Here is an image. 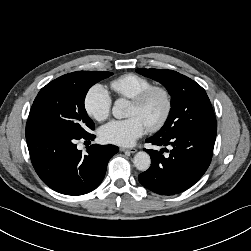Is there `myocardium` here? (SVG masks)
Here are the masks:
<instances>
[{
    "label": "myocardium",
    "instance_id": "myocardium-1",
    "mask_svg": "<svg viewBox=\"0 0 251 251\" xmlns=\"http://www.w3.org/2000/svg\"><path fill=\"white\" fill-rule=\"evenodd\" d=\"M154 95H160L162 97L163 108L158 117L148 125V129L151 131L161 128L170 115L172 109V96L170 91L163 86H151L131 99V102L138 107H144Z\"/></svg>",
    "mask_w": 251,
    "mask_h": 251
}]
</instances>
